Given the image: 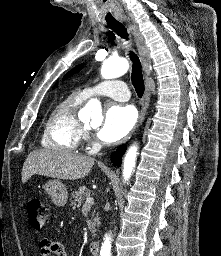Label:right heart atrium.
Masks as SVG:
<instances>
[{
    "label": "right heart atrium",
    "instance_id": "1",
    "mask_svg": "<svg viewBox=\"0 0 221 256\" xmlns=\"http://www.w3.org/2000/svg\"><path fill=\"white\" fill-rule=\"evenodd\" d=\"M83 137L86 139L88 138V134L87 133H83Z\"/></svg>",
    "mask_w": 221,
    "mask_h": 256
}]
</instances>
